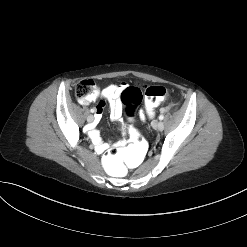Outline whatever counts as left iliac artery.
<instances>
[{"label":"left iliac artery","mask_w":247,"mask_h":247,"mask_svg":"<svg viewBox=\"0 0 247 247\" xmlns=\"http://www.w3.org/2000/svg\"><path fill=\"white\" fill-rule=\"evenodd\" d=\"M164 119V116L163 115H160L159 116V120H163Z\"/></svg>","instance_id":"1"}]
</instances>
